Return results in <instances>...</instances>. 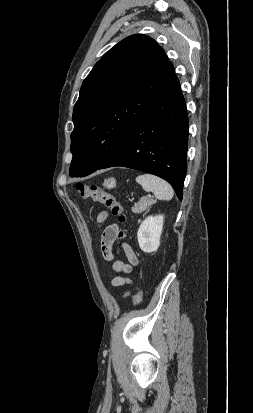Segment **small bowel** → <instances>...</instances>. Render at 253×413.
I'll return each instance as SVG.
<instances>
[{
    "instance_id": "1",
    "label": "small bowel",
    "mask_w": 253,
    "mask_h": 413,
    "mask_svg": "<svg viewBox=\"0 0 253 413\" xmlns=\"http://www.w3.org/2000/svg\"><path fill=\"white\" fill-rule=\"evenodd\" d=\"M107 217H108L107 212L105 211L101 212L97 217L98 224L101 226L105 222ZM117 233H118V225L113 223V224L106 226L103 229V232L101 235V241H100L101 251H102L104 258L108 261H111L114 258L112 248H113V244L115 240L117 239ZM124 251L128 259V262H124L121 260L114 261L112 264V269L116 273L128 274L132 271L133 266H136L138 264V258L129 245L127 244L124 245ZM111 283L114 286H123V285L129 284L130 279L125 276L119 275V276L112 278ZM126 295L127 293L124 294V296Z\"/></svg>"
}]
</instances>
